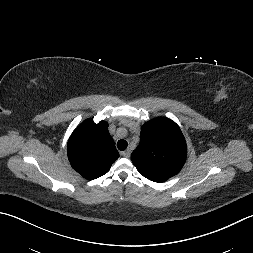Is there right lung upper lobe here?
<instances>
[{
	"label": "right lung upper lobe",
	"mask_w": 253,
	"mask_h": 253,
	"mask_svg": "<svg viewBox=\"0 0 253 253\" xmlns=\"http://www.w3.org/2000/svg\"><path fill=\"white\" fill-rule=\"evenodd\" d=\"M68 159L82 177L93 180L106 174L119 153L108 132V124L85 120L72 133L67 145Z\"/></svg>",
	"instance_id": "cb5924a9"
}]
</instances>
